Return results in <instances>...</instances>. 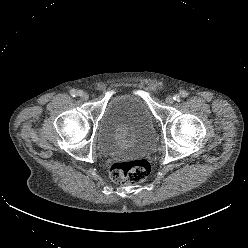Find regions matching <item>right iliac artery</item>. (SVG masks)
I'll return each instance as SVG.
<instances>
[{
  "instance_id": "obj_1",
  "label": "right iliac artery",
  "mask_w": 248,
  "mask_h": 248,
  "mask_svg": "<svg viewBox=\"0 0 248 248\" xmlns=\"http://www.w3.org/2000/svg\"><path fill=\"white\" fill-rule=\"evenodd\" d=\"M70 94H71V96H73V97H77V96L81 95V91L72 89V90L70 91Z\"/></svg>"
}]
</instances>
